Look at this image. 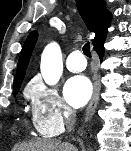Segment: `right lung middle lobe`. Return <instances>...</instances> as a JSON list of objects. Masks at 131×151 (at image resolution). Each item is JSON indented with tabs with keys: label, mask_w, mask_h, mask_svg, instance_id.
Instances as JSON below:
<instances>
[{
	"label": "right lung middle lobe",
	"mask_w": 131,
	"mask_h": 151,
	"mask_svg": "<svg viewBox=\"0 0 131 151\" xmlns=\"http://www.w3.org/2000/svg\"><path fill=\"white\" fill-rule=\"evenodd\" d=\"M19 88L13 90V94L16 95L18 93Z\"/></svg>",
	"instance_id": "dd1d6c3e"
}]
</instances>
